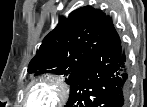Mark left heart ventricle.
Wrapping results in <instances>:
<instances>
[{
	"mask_svg": "<svg viewBox=\"0 0 147 107\" xmlns=\"http://www.w3.org/2000/svg\"><path fill=\"white\" fill-rule=\"evenodd\" d=\"M53 97L52 88L39 86L30 93L29 103L37 106H45L52 101Z\"/></svg>",
	"mask_w": 147,
	"mask_h": 107,
	"instance_id": "b2bd125f",
	"label": "left heart ventricle"
}]
</instances>
